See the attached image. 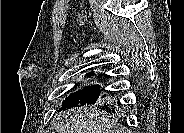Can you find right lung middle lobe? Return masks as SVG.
I'll use <instances>...</instances> for the list:
<instances>
[{"instance_id":"1","label":"right lung middle lobe","mask_w":184,"mask_h":133,"mask_svg":"<svg viewBox=\"0 0 184 133\" xmlns=\"http://www.w3.org/2000/svg\"><path fill=\"white\" fill-rule=\"evenodd\" d=\"M92 81H93V85H90L89 82H92ZM86 82L87 84H85ZM82 84H85V86L83 85L84 87L70 94V96L67 97L65 101L63 102L60 110H66L74 106L76 107V106H83L85 104L95 103L94 101L102 93L100 86L94 84V79H88L84 81ZM97 108L111 112V110L115 109L116 107L114 106V104L108 101L106 103H98Z\"/></svg>"}]
</instances>
